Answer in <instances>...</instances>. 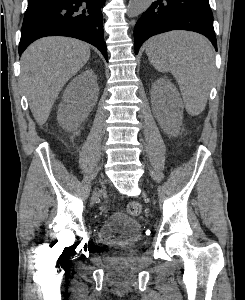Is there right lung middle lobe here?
<instances>
[{
  "instance_id": "1",
  "label": "right lung middle lobe",
  "mask_w": 245,
  "mask_h": 300,
  "mask_svg": "<svg viewBox=\"0 0 245 300\" xmlns=\"http://www.w3.org/2000/svg\"><path fill=\"white\" fill-rule=\"evenodd\" d=\"M36 3H37V2H36ZM32 4H34V3L28 2V5H32Z\"/></svg>"
}]
</instances>
